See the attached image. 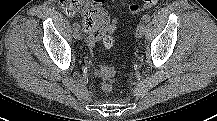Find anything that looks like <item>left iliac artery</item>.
<instances>
[{
	"mask_svg": "<svg viewBox=\"0 0 217 121\" xmlns=\"http://www.w3.org/2000/svg\"><path fill=\"white\" fill-rule=\"evenodd\" d=\"M142 21H143L144 23L149 22V21H150V16H149V15H144V16L142 17Z\"/></svg>",
	"mask_w": 217,
	"mask_h": 121,
	"instance_id": "1",
	"label": "left iliac artery"
}]
</instances>
